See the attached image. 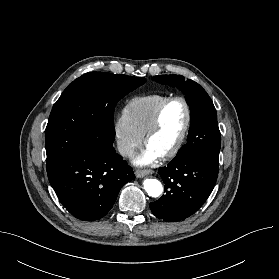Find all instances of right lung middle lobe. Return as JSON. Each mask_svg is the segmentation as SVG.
Returning a JSON list of instances; mask_svg holds the SVG:
<instances>
[{
  "instance_id": "right-lung-middle-lobe-1",
  "label": "right lung middle lobe",
  "mask_w": 279,
  "mask_h": 279,
  "mask_svg": "<svg viewBox=\"0 0 279 279\" xmlns=\"http://www.w3.org/2000/svg\"><path fill=\"white\" fill-rule=\"evenodd\" d=\"M145 81V78L89 72L69 84L54 104L45 130L48 178L77 150L111 145L116 103Z\"/></svg>"
}]
</instances>
